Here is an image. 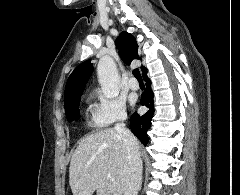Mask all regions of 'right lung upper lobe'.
Returning a JSON list of instances; mask_svg holds the SVG:
<instances>
[{"label": "right lung upper lobe", "mask_w": 240, "mask_h": 195, "mask_svg": "<svg viewBox=\"0 0 240 195\" xmlns=\"http://www.w3.org/2000/svg\"><path fill=\"white\" fill-rule=\"evenodd\" d=\"M116 45L119 48V54L126 64H129L132 60L140 59L138 55V45L135 38L127 32H122L116 40ZM144 80L147 79V69L142 66ZM93 72V65L90 60H87L80 64L71 73L66 83L64 92L65 106H68L71 102L80 99L83 89L88 82Z\"/></svg>", "instance_id": "1"}]
</instances>
